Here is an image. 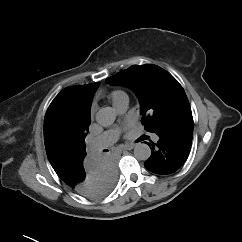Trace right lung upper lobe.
Returning a JSON list of instances; mask_svg holds the SVG:
<instances>
[{
    "label": "right lung upper lobe",
    "mask_w": 242,
    "mask_h": 242,
    "mask_svg": "<svg viewBox=\"0 0 242 242\" xmlns=\"http://www.w3.org/2000/svg\"><path fill=\"white\" fill-rule=\"evenodd\" d=\"M100 83L63 89L51 102L44 118L48 159L61 175L86 154L85 137L91 123L90 106Z\"/></svg>",
    "instance_id": "obj_1"
}]
</instances>
